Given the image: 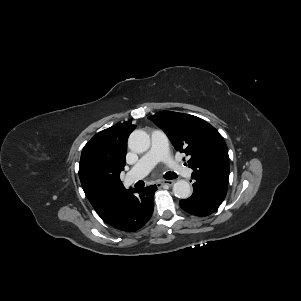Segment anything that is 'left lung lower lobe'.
<instances>
[{"instance_id":"left-lung-lower-lobe-1","label":"left lung lower lobe","mask_w":301,"mask_h":301,"mask_svg":"<svg viewBox=\"0 0 301 301\" xmlns=\"http://www.w3.org/2000/svg\"><path fill=\"white\" fill-rule=\"evenodd\" d=\"M193 194L190 198L180 200L179 204L186 212L196 216H207L218 209L223 202L227 187L210 180L192 176Z\"/></svg>"}]
</instances>
